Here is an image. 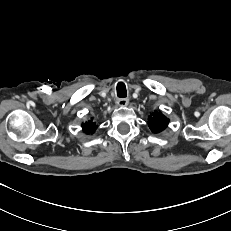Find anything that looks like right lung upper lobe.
Wrapping results in <instances>:
<instances>
[{
	"mask_svg": "<svg viewBox=\"0 0 231 231\" xmlns=\"http://www.w3.org/2000/svg\"><path fill=\"white\" fill-rule=\"evenodd\" d=\"M93 119L89 120L88 122L86 123H83L82 125V128H83V131L87 134H93L94 131L96 130L97 128V125L95 122L92 121Z\"/></svg>",
	"mask_w": 231,
	"mask_h": 231,
	"instance_id": "cb5924a9",
	"label": "right lung upper lobe"
}]
</instances>
